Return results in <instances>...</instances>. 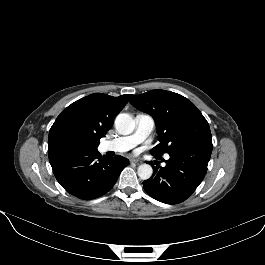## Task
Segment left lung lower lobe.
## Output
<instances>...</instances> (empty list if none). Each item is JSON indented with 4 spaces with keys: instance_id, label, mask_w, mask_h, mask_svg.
<instances>
[{
    "instance_id": "1",
    "label": "left lung lower lobe",
    "mask_w": 265,
    "mask_h": 265,
    "mask_svg": "<svg viewBox=\"0 0 265 265\" xmlns=\"http://www.w3.org/2000/svg\"><path fill=\"white\" fill-rule=\"evenodd\" d=\"M212 152V138L200 139L169 152L165 167H153L151 178L143 182L145 191L166 204L189 198L204 179Z\"/></svg>"
}]
</instances>
